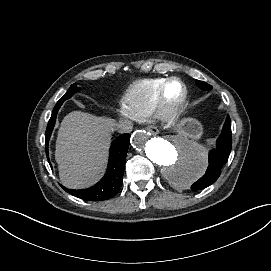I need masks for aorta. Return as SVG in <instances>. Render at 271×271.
I'll return each instance as SVG.
<instances>
[{"label":"aorta","mask_w":271,"mask_h":271,"mask_svg":"<svg viewBox=\"0 0 271 271\" xmlns=\"http://www.w3.org/2000/svg\"><path fill=\"white\" fill-rule=\"evenodd\" d=\"M133 148L144 153L159 167L167 181L186 187L195 182L207 167L205 148L187 134L167 138L151 137L145 130L135 131L131 138Z\"/></svg>","instance_id":"1"}]
</instances>
